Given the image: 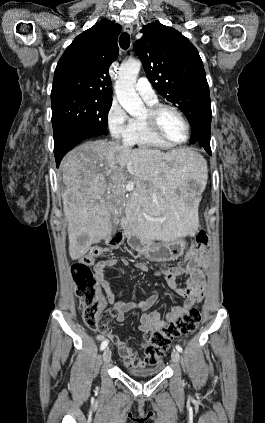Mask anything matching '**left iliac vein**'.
<instances>
[{"mask_svg":"<svg viewBox=\"0 0 265 423\" xmlns=\"http://www.w3.org/2000/svg\"><path fill=\"white\" fill-rule=\"evenodd\" d=\"M171 357H172V361H173L174 364H178L179 363V361H180V354H179L178 351H176V350L172 351Z\"/></svg>","mask_w":265,"mask_h":423,"instance_id":"1","label":"left iliac vein"}]
</instances>
